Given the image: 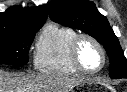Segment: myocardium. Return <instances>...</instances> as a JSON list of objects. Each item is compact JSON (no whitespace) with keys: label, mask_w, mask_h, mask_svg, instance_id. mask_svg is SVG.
<instances>
[{"label":"myocardium","mask_w":127,"mask_h":92,"mask_svg":"<svg viewBox=\"0 0 127 92\" xmlns=\"http://www.w3.org/2000/svg\"><path fill=\"white\" fill-rule=\"evenodd\" d=\"M83 40H88V41L92 42L99 49V51L102 55V64L96 70H88V69L84 68L80 62L78 51H79V46ZM70 60L73 64V66L79 72H82L85 74H96V73H99L100 71H102L103 68L105 67V65L107 63V53H106L103 45L94 36L87 34V33H80V34H77L71 42Z\"/></svg>","instance_id":"1"}]
</instances>
